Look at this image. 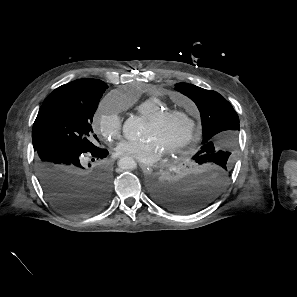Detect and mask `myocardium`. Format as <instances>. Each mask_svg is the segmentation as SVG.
Wrapping results in <instances>:
<instances>
[{"mask_svg":"<svg viewBox=\"0 0 297 297\" xmlns=\"http://www.w3.org/2000/svg\"><path fill=\"white\" fill-rule=\"evenodd\" d=\"M174 118H184L189 124V130L186 137L177 145L170 147L165 151L167 155H176L182 153L185 149H187L196 139L197 136V124L195 119L191 114L181 110H167L163 111L152 118L148 119V121L154 125L159 126L163 124L165 121Z\"/></svg>","mask_w":297,"mask_h":297,"instance_id":"f54148a6","label":"myocardium"}]
</instances>
